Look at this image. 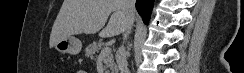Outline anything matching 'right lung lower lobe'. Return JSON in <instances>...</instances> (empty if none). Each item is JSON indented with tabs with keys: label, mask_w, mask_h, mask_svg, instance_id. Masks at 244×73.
I'll return each instance as SVG.
<instances>
[{
	"label": "right lung lower lobe",
	"mask_w": 244,
	"mask_h": 73,
	"mask_svg": "<svg viewBox=\"0 0 244 73\" xmlns=\"http://www.w3.org/2000/svg\"><path fill=\"white\" fill-rule=\"evenodd\" d=\"M154 0H136V8L144 23H148Z\"/></svg>",
	"instance_id": "right-lung-lower-lobe-1"
}]
</instances>
